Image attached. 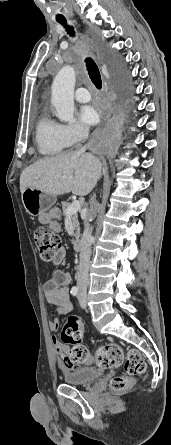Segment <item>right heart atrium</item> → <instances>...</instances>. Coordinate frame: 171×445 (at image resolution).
Returning a JSON list of instances; mask_svg holds the SVG:
<instances>
[{"label":"right heart atrium","mask_w":171,"mask_h":445,"mask_svg":"<svg viewBox=\"0 0 171 445\" xmlns=\"http://www.w3.org/2000/svg\"><path fill=\"white\" fill-rule=\"evenodd\" d=\"M61 130L68 145L76 144L88 135V130L79 124H62Z\"/></svg>","instance_id":"obj_1"}]
</instances>
